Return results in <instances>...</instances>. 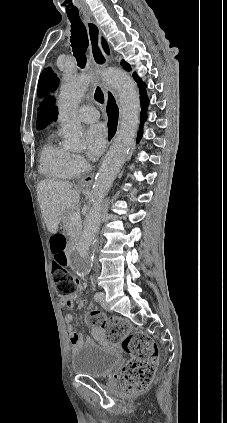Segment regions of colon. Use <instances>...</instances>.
Wrapping results in <instances>:
<instances>
[{
	"label": "colon",
	"mask_w": 227,
	"mask_h": 423,
	"mask_svg": "<svg viewBox=\"0 0 227 423\" xmlns=\"http://www.w3.org/2000/svg\"><path fill=\"white\" fill-rule=\"evenodd\" d=\"M50 243L58 294L61 297L73 296L76 292V282L68 270L66 238L63 234L57 233L51 237ZM87 320L92 326L107 330L111 338L123 339V349L131 357L121 371V380L126 389L138 392L149 386L154 378L159 358L156 343L143 332L130 331L128 323L119 318H105L92 310L87 315Z\"/></svg>",
	"instance_id": "1"
}]
</instances>
